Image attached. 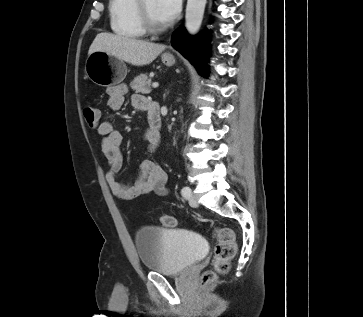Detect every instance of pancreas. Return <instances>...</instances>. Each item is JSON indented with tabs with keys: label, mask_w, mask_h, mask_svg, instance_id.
I'll use <instances>...</instances> for the list:
<instances>
[{
	"label": "pancreas",
	"mask_w": 363,
	"mask_h": 317,
	"mask_svg": "<svg viewBox=\"0 0 363 317\" xmlns=\"http://www.w3.org/2000/svg\"><path fill=\"white\" fill-rule=\"evenodd\" d=\"M151 79L148 78L147 74H140L130 82V87L135 92L143 94H149L151 92Z\"/></svg>",
	"instance_id": "obj_1"
}]
</instances>
